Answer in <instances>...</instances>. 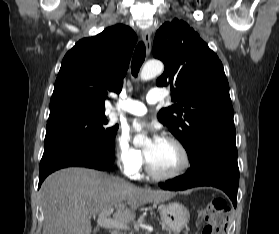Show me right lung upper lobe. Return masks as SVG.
Masks as SVG:
<instances>
[{
  "label": "right lung upper lobe",
  "instance_id": "right-lung-upper-lobe-1",
  "mask_svg": "<svg viewBox=\"0 0 279 234\" xmlns=\"http://www.w3.org/2000/svg\"><path fill=\"white\" fill-rule=\"evenodd\" d=\"M136 41L135 32L122 24L78 41L62 60L50 111L68 107L105 110L108 91L122 89Z\"/></svg>",
  "mask_w": 279,
  "mask_h": 234
}]
</instances>
